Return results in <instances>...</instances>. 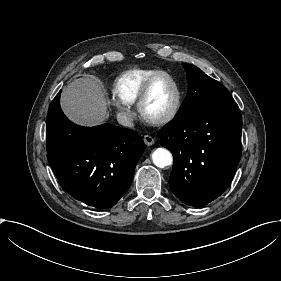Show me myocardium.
Instances as JSON below:
<instances>
[{
	"label": "myocardium",
	"instance_id": "f54148a6",
	"mask_svg": "<svg viewBox=\"0 0 281 281\" xmlns=\"http://www.w3.org/2000/svg\"><path fill=\"white\" fill-rule=\"evenodd\" d=\"M163 79L169 80L173 86V90H174L173 103H172L170 111L165 116L152 117L146 113L145 104L148 101V99L150 98L155 85ZM180 105H181L180 87H179V84H178L177 80L175 79V77L173 75H171L170 73L158 74V75L151 77L145 84V86L137 100V110H138L140 117L147 123H150L153 125H164V124L170 123L177 116L179 109H180Z\"/></svg>",
	"mask_w": 281,
	"mask_h": 281
}]
</instances>
